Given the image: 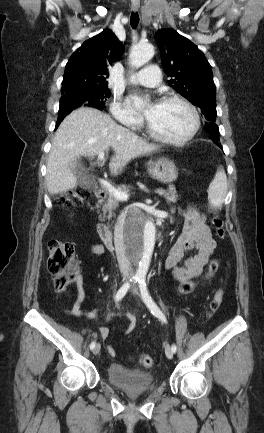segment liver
<instances>
[{
	"instance_id": "obj_1",
	"label": "liver",
	"mask_w": 264,
	"mask_h": 433,
	"mask_svg": "<svg viewBox=\"0 0 264 433\" xmlns=\"http://www.w3.org/2000/svg\"><path fill=\"white\" fill-rule=\"evenodd\" d=\"M112 148L109 168L118 174L134 158L158 151L109 115L94 108L72 111L58 127L47 161L46 184L51 195L77 186L75 162L80 156L93 157Z\"/></svg>"
}]
</instances>
